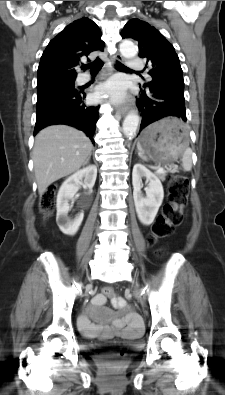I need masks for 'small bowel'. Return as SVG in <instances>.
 Returning <instances> with one entry per match:
<instances>
[{
  "label": "small bowel",
  "mask_w": 225,
  "mask_h": 395,
  "mask_svg": "<svg viewBox=\"0 0 225 395\" xmlns=\"http://www.w3.org/2000/svg\"><path fill=\"white\" fill-rule=\"evenodd\" d=\"M110 302L115 304L116 311H122V315L114 316L111 320V325L108 327L92 323L87 315L82 316L80 318V328L87 336H95L101 331H103L105 336H110L112 334L131 336L142 331L143 326L139 316L128 310L125 300L119 299L118 296H111ZM104 303L105 294L97 295L93 299L90 311L93 313L101 312L105 315H111L109 311L101 310Z\"/></svg>",
  "instance_id": "1"
}]
</instances>
